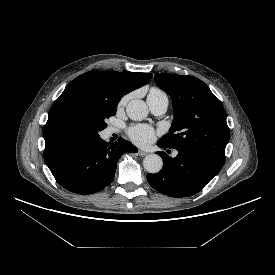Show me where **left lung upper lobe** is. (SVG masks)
I'll return each instance as SVG.
<instances>
[{
  "label": "left lung upper lobe",
  "instance_id": "obj_1",
  "mask_svg": "<svg viewBox=\"0 0 275 275\" xmlns=\"http://www.w3.org/2000/svg\"><path fill=\"white\" fill-rule=\"evenodd\" d=\"M154 81L170 95L175 117L169 133L158 142L225 161L226 113L209 87L196 77L176 74H156Z\"/></svg>",
  "mask_w": 275,
  "mask_h": 275
}]
</instances>
